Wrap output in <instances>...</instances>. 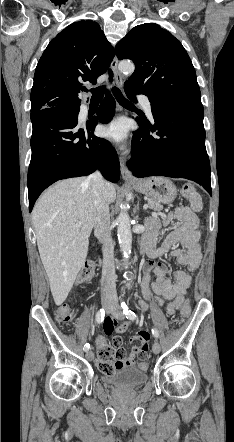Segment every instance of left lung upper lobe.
Instances as JSON below:
<instances>
[{
	"label": "left lung upper lobe",
	"instance_id": "left-lung-upper-lobe-1",
	"mask_svg": "<svg viewBox=\"0 0 234 442\" xmlns=\"http://www.w3.org/2000/svg\"><path fill=\"white\" fill-rule=\"evenodd\" d=\"M119 60L131 59L135 71L125 87L147 95L150 102L201 100L193 64L182 44L154 23L134 27L115 47Z\"/></svg>",
	"mask_w": 234,
	"mask_h": 442
}]
</instances>
